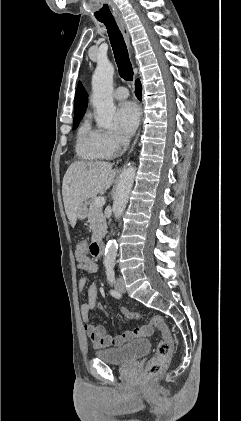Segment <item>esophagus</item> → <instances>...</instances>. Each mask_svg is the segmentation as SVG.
<instances>
[{
    "instance_id": "esophagus-1",
    "label": "esophagus",
    "mask_w": 241,
    "mask_h": 421,
    "mask_svg": "<svg viewBox=\"0 0 241 421\" xmlns=\"http://www.w3.org/2000/svg\"><path fill=\"white\" fill-rule=\"evenodd\" d=\"M116 22H117V24H118V26H119L122 34H123V37H124V39H125L128 47L131 49V46H130V35H129L128 28L126 26V23H125L124 19L122 17L118 16V17H116ZM139 135H140V130L138 131V133H137V135L135 137V140H134V142H133V144H132V146L130 148V152L134 149V147H135V145H136V143L138 141Z\"/></svg>"
}]
</instances>
